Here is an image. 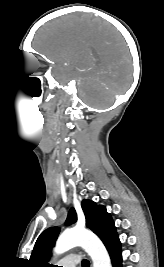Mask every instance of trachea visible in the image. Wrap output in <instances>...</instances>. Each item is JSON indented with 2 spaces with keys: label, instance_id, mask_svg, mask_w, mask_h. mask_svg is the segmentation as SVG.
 <instances>
[{
  "label": "trachea",
  "instance_id": "1",
  "mask_svg": "<svg viewBox=\"0 0 164 267\" xmlns=\"http://www.w3.org/2000/svg\"><path fill=\"white\" fill-rule=\"evenodd\" d=\"M89 265H90V263H89L88 260L84 259V260L82 261V267H89Z\"/></svg>",
  "mask_w": 164,
  "mask_h": 267
}]
</instances>
